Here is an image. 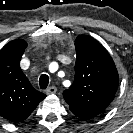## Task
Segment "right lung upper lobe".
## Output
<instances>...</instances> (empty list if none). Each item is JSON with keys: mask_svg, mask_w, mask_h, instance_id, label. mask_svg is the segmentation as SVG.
Returning <instances> with one entry per match:
<instances>
[{"mask_svg": "<svg viewBox=\"0 0 133 133\" xmlns=\"http://www.w3.org/2000/svg\"><path fill=\"white\" fill-rule=\"evenodd\" d=\"M27 42L16 39L0 50V115L13 122L29 117L46 97L35 90L20 68Z\"/></svg>", "mask_w": 133, "mask_h": 133, "instance_id": "right-lung-upper-lobe-1", "label": "right lung upper lobe"}]
</instances>
